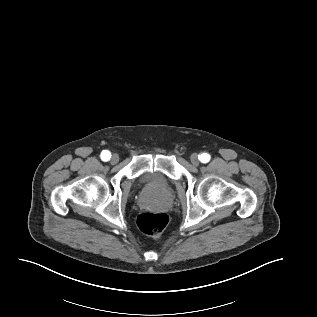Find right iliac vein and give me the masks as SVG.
Masks as SVG:
<instances>
[{"label": "right iliac vein", "mask_w": 317, "mask_h": 317, "mask_svg": "<svg viewBox=\"0 0 317 317\" xmlns=\"http://www.w3.org/2000/svg\"><path fill=\"white\" fill-rule=\"evenodd\" d=\"M118 161H119V156L114 154L110 160L111 164H116Z\"/></svg>", "instance_id": "1"}]
</instances>
